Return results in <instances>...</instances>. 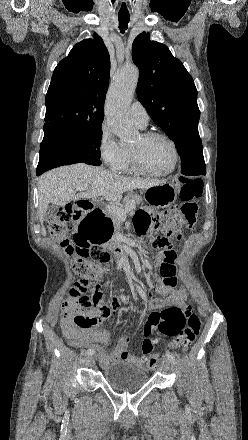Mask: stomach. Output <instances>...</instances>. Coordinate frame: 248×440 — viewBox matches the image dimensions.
I'll use <instances>...</instances> for the list:
<instances>
[{
  "instance_id": "obj_1",
  "label": "stomach",
  "mask_w": 248,
  "mask_h": 440,
  "mask_svg": "<svg viewBox=\"0 0 248 440\" xmlns=\"http://www.w3.org/2000/svg\"><path fill=\"white\" fill-rule=\"evenodd\" d=\"M144 199L155 208L169 207L177 199V190L173 184L162 182L145 189ZM84 216L74 219V241H89L91 246L116 245V218H110V209H85Z\"/></svg>"
}]
</instances>
